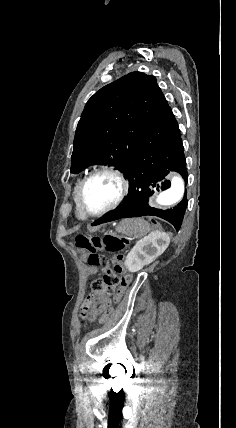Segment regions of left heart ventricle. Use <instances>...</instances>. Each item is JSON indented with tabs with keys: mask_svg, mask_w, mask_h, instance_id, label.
Segmentation results:
<instances>
[{
	"mask_svg": "<svg viewBox=\"0 0 236 428\" xmlns=\"http://www.w3.org/2000/svg\"><path fill=\"white\" fill-rule=\"evenodd\" d=\"M120 193V183L110 175H99L91 179L84 190L87 206L98 211L112 204Z\"/></svg>",
	"mask_w": 236,
	"mask_h": 428,
	"instance_id": "left-heart-ventricle-1",
	"label": "left heart ventricle"
}]
</instances>
